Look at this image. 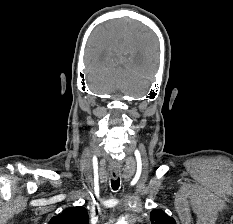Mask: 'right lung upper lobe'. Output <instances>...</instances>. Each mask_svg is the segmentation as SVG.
I'll return each mask as SVG.
<instances>
[{
  "label": "right lung upper lobe",
  "instance_id": "cb5924a9",
  "mask_svg": "<svg viewBox=\"0 0 233 224\" xmlns=\"http://www.w3.org/2000/svg\"><path fill=\"white\" fill-rule=\"evenodd\" d=\"M89 217L84 207H71L65 209L60 215L54 216L49 224H88Z\"/></svg>",
  "mask_w": 233,
  "mask_h": 224
}]
</instances>
